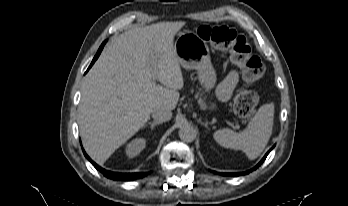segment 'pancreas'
<instances>
[{"label": "pancreas", "mask_w": 348, "mask_h": 206, "mask_svg": "<svg viewBox=\"0 0 348 206\" xmlns=\"http://www.w3.org/2000/svg\"><path fill=\"white\" fill-rule=\"evenodd\" d=\"M202 91L201 90H199L198 92H197V94H196V96L197 97H199L200 96V100H199V103H200V105L201 106H204V100H203V98H202Z\"/></svg>", "instance_id": "cf45deb5"}]
</instances>
